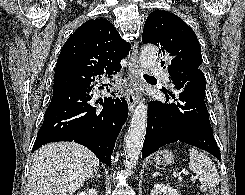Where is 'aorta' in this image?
Here are the masks:
<instances>
[{
  "label": "aorta",
  "instance_id": "762f6f07",
  "mask_svg": "<svg viewBox=\"0 0 245 195\" xmlns=\"http://www.w3.org/2000/svg\"><path fill=\"white\" fill-rule=\"evenodd\" d=\"M157 49L152 45L144 46L141 50L139 62L144 69H150L156 62ZM147 127V106L139 102L136 106L131 123L125 137L124 155L125 166L131 170L136 167Z\"/></svg>",
  "mask_w": 245,
  "mask_h": 195
}]
</instances>
